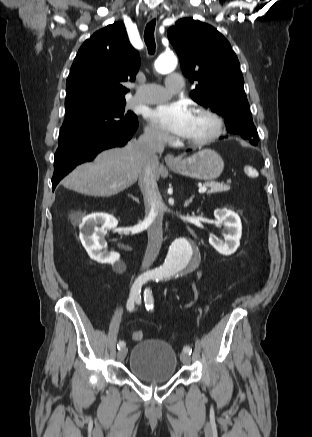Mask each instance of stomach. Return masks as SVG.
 I'll return each mask as SVG.
<instances>
[{
  "mask_svg": "<svg viewBox=\"0 0 312 437\" xmlns=\"http://www.w3.org/2000/svg\"><path fill=\"white\" fill-rule=\"evenodd\" d=\"M168 166L177 174L198 180L212 181L223 172L224 162L216 151L203 149Z\"/></svg>",
  "mask_w": 312,
  "mask_h": 437,
  "instance_id": "0dacf381",
  "label": "stomach"
}]
</instances>
